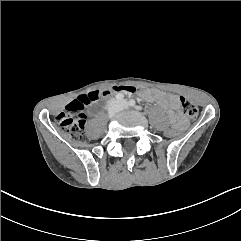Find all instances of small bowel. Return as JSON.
<instances>
[{
	"instance_id": "obj_1",
	"label": "small bowel",
	"mask_w": 241,
	"mask_h": 241,
	"mask_svg": "<svg viewBox=\"0 0 241 241\" xmlns=\"http://www.w3.org/2000/svg\"><path fill=\"white\" fill-rule=\"evenodd\" d=\"M143 95L147 100L155 101L161 107L168 109L170 116L176 121V123L179 126L183 125V122L178 115V112L180 110V102L179 98L176 95L168 94L162 91L144 92Z\"/></svg>"
}]
</instances>
